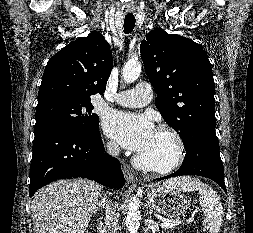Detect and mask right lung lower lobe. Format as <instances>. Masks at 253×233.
<instances>
[{
    "instance_id": "98d812e1",
    "label": "right lung lower lobe",
    "mask_w": 253,
    "mask_h": 233,
    "mask_svg": "<svg viewBox=\"0 0 253 233\" xmlns=\"http://www.w3.org/2000/svg\"><path fill=\"white\" fill-rule=\"evenodd\" d=\"M87 178L111 187L125 184L120 162L105 153L99 130L83 135L65 128L35 132L30 165V197L57 179Z\"/></svg>"
}]
</instances>
